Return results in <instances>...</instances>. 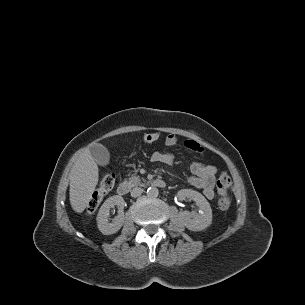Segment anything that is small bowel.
I'll list each match as a JSON object with an SVG mask.
<instances>
[{"mask_svg": "<svg viewBox=\"0 0 305 305\" xmlns=\"http://www.w3.org/2000/svg\"><path fill=\"white\" fill-rule=\"evenodd\" d=\"M189 141L194 142L197 145V149L193 150L185 145L188 149L196 152L203 151V148L197 142L193 140H189ZM178 143H179V138L175 134L167 135L164 141V144L167 148H173L177 146ZM150 160L155 163L171 165L174 162V155L169 151L154 152L152 153ZM190 171H191V177L189 178L190 184L200 189L207 199H213L215 174H216L215 166L211 164H203L201 162H194L190 166Z\"/></svg>", "mask_w": 305, "mask_h": 305, "instance_id": "obj_1", "label": "small bowel"}]
</instances>
